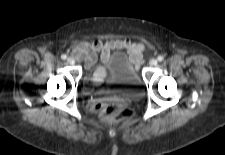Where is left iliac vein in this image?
Wrapping results in <instances>:
<instances>
[{
	"mask_svg": "<svg viewBox=\"0 0 225 155\" xmlns=\"http://www.w3.org/2000/svg\"><path fill=\"white\" fill-rule=\"evenodd\" d=\"M157 60L156 59H152L151 61H150V66H152V67H154V66H156L157 65Z\"/></svg>",
	"mask_w": 225,
	"mask_h": 155,
	"instance_id": "left-iliac-vein-1",
	"label": "left iliac vein"
}]
</instances>
